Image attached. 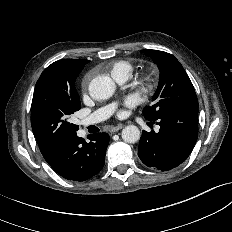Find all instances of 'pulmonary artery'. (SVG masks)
Listing matches in <instances>:
<instances>
[{
    "label": "pulmonary artery",
    "instance_id": "obj_1",
    "mask_svg": "<svg viewBox=\"0 0 232 232\" xmlns=\"http://www.w3.org/2000/svg\"><path fill=\"white\" fill-rule=\"evenodd\" d=\"M128 79H129V76H127V75H123V76L115 78V80L120 84L126 82ZM112 111H113L112 106H107V107L101 108V109L95 111L93 114H91L88 118H86L83 121V123L85 125H91V124H96L98 122H101V121L107 119L112 114Z\"/></svg>",
    "mask_w": 232,
    "mask_h": 232
}]
</instances>
